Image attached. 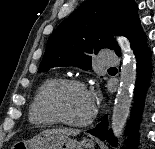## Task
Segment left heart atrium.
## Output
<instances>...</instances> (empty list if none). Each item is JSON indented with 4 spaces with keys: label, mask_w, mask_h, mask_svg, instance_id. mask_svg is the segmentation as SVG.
<instances>
[{
    "label": "left heart atrium",
    "mask_w": 155,
    "mask_h": 149,
    "mask_svg": "<svg viewBox=\"0 0 155 149\" xmlns=\"http://www.w3.org/2000/svg\"><path fill=\"white\" fill-rule=\"evenodd\" d=\"M88 94H89L92 107L94 109L99 103V98H100L99 93L97 91H91V92H88Z\"/></svg>",
    "instance_id": "obj_1"
}]
</instances>
